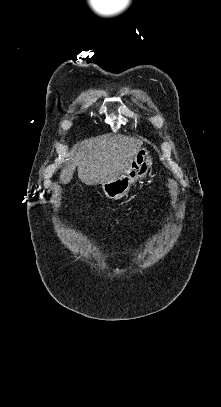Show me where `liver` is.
<instances>
[{"instance_id": "liver-1", "label": "liver", "mask_w": 221, "mask_h": 407, "mask_svg": "<svg viewBox=\"0 0 221 407\" xmlns=\"http://www.w3.org/2000/svg\"><path fill=\"white\" fill-rule=\"evenodd\" d=\"M143 140L125 135H102L74 145L71 157L60 172V181L68 184L77 167L78 177L86 185H101L120 176L129 166Z\"/></svg>"}]
</instances>
